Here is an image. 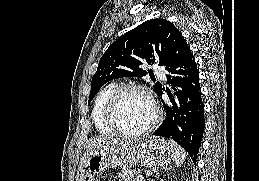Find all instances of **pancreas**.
<instances>
[{"label":"pancreas","mask_w":259,"mask_h":181,"mask_svg":"<svg viewBox=\"0 0 259 181\" xmlns=\"http://www.w3.org/2000/svg\"><path fill=\"white\" fill-rule=\"evenodd\" d=\"M140 173V170L124 169L118 172L117 176L121 179V181H135V178L138 177Z\"/></svg>","instance_id":"pancreas-1"}]
</instances>
